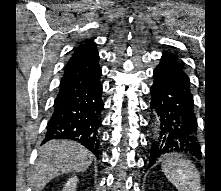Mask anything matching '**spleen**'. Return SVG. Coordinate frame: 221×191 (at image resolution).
<instances>
[{"label": "spleen", "mask_w": 221, "mask_h": 191, "mask_svg": "<svg viewBox=\"0 0 221 191\" xmlns=\"http://www.w3.org/2000/svg\"><path fill=\"white\" fill-rule=\"evenodd\" d=\"M162 171L178 191H200V174L191 161L180 156H167Z\"/></svg>", "instance_id": "3e777b00"}]
</instances>
